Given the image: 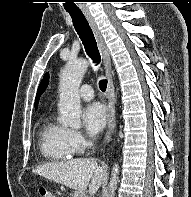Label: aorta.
I'll return each mask as SVG.
<instances>
[{
    "mask_svg": "<svg viewBox=\"0 0 191 197\" xmlns=\"http://www.w3.org/2000/svg\"><path fill=\"white\" fill-rule=\"evenodd\" d=\"M88 65V61L85 59L68 61L60 75L58 107L61 116L59 122L65 127L73 129H79L81 127L79 87ZM118 174L119 166L115 164L109 183V197H114L115 195Z\"/></svg>",
    "mask_w": 191,
    "mask_h": 197,
    "instance_id": "1",
    "label": "aorta"
}]
</instances>
